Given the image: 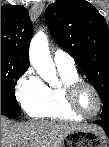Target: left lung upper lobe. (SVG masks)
Returning <instances> with one entry per match:
<instances>
[{"label": "left lung upper lobe", "mask_w": 109, "mask_h": 147, "mask_svg": "<svg viewBox=\"0 0 109 147\" xmlns=\"http://www.w3.org/2000/svg\"><path fill=\"white\" fill-rule=\"evenodd\" d=\"M45 20L102 99L101 119L109 120V29L104 17L85 0H57L47 7Z\"/></svg>", "instance_id": "1"}]
</instances>
